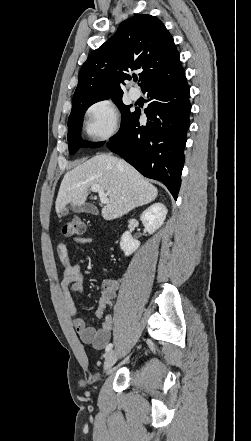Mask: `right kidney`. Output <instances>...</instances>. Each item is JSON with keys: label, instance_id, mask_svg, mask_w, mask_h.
<instances>
[{"label": "right kidney", "instance_id": "ca27d5eb", "mask_svg": "<svg viewBox=\"0 0 251 441\" xmlns=\"http://www.w3.org/2000/svg\"><path fill=\"white\" fill-rule=\"evenodd\" d=\"M167 208L162 203H155L148 207L140 216L146 231L149 234H153L157 229H159L164 220L166 219ZM140 242L132 237L130 232L126 231L121 236L120 248L124 252L125 256H129L134 253Z\"/></svg>", "mask_w": 251, "mask_h": 441}]
</instances>
